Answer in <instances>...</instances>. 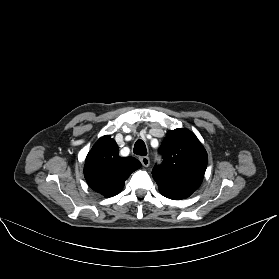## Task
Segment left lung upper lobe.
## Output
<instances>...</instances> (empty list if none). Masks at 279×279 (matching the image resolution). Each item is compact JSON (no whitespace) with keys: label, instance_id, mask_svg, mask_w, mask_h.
Listing matches in <instances>:
<instances>
[{"label":"left lung upper lobe","instance_id":"1","mask_svg":"<svg viewBox=\"0 0 279 279\" xmlns=\"http://www.w3.org/2000/svg\"><path fill=\"white\" fill-rule=\"evenodd\" d=\"M159 152L163 164L155 166L152 175L160 193L173 200L192 195L201 185L208 156L197 137L187 129L167 132Z\"/></svg>","mask_w":279,"mask_h":279}]
</instances>
